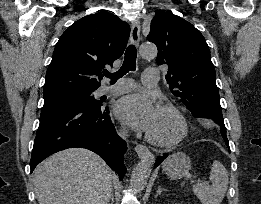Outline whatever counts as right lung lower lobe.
<instances>
[{
	"mask_svg": "<svg viewBox=\"0 0 261 204\" xmlns=\"http://www.w3.org/2000/svg\"><path fill=\"white\" fill-rule=\"evenodd\" d=\"M101 102L76 101L43 106L30 161L31 172L46 157L70 148H87L100 155L122 179L127 150Z\"/></svg>",
	"mask_w": 261,
	"mask_h": 204,
	"instance_id": "right-lung-lower-lobe-1",
	"label": "right lung lower lobe"
}]
</instances>
